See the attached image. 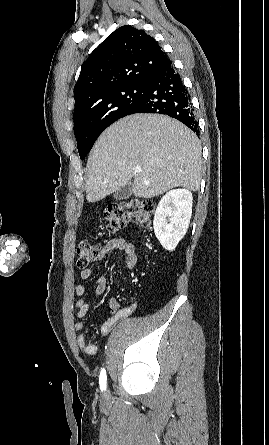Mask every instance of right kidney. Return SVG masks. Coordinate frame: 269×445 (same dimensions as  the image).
<instances>
[{"instance_id": "obj_1", "label": "right kidney", "mask_w": 269, "mask_h": 445, "mask_svg": "<svg viewBox=\"0 0 269 445\" xmlns=\"http://www.w3.org/2000/svg\"><path fill=\"white\" fill-rule=\"evenodd\" d=\"M192 193L173 189L160 200L155 211L153 228L156 238L166 250L174 249L184 237L192 214Z\"/></svg>"}]
</instances>
